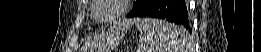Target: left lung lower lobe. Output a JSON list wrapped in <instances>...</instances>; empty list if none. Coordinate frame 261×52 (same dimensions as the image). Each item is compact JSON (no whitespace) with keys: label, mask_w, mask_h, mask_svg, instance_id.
Returning a JSON list of instances; mask_svg holds the SVG:
<instances>
[{"label":"left lung lower lobe","mask_w":261,"mask_h":52,"mask_svg":"<svg viewBox=\"0 0 261 52\" xmlns=\"http://www.w3.org/2000/svg\"><path fill=\"white\" fill-rule=\"evenodd\" d=\"M134 17L166 19L169 22L179 25L180 28L188 29L191 33L187 7L184 0H153ZM164 34L165 36L172 38L171 33Z\"/></svg>","instance_id":"left-lung-lower-lobe-1"}]
</instances>
